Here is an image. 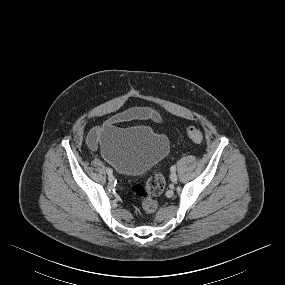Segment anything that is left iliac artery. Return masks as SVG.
I'll return each mask as SVG.
<instances>
[{
	"label": "left iliac artery",
	"instance_id": "obj_1",
	"mask_svg": "<svg viewBox=\"0 0 285 285\" xmlns=\"http://www.w3.org/2000/svg\"><path fill=\"white\" fill-rule=\"evenodd\" d=\"M171 171H175L176 170V166H171Z\"/></svg>",
	"mask_w": 285,
	"mask_h": 285
}]
</instances>
